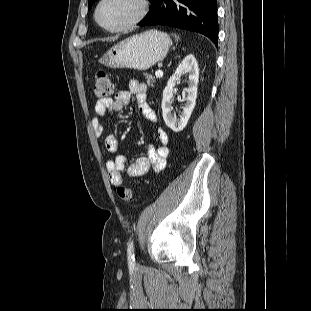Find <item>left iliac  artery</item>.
Instances as JSON below:
<instances>
[{
    "instance_id": "left-iliac-artery-1",
    "label": "left iliac artery",
    "mask_w": 311,
    "mask_h": 311,
    "mask_svg": "<svg viewBox=\"0 0 311 311\" xmlns=\"http://www.w3.org/2000/svg\"><path fill=\"white\" fill-rule=\"evenodd\" d=\"M127 257H128L129 265H134L135 264V258H134V242L133 241H131L128 245Z\"/></svg>"
}]
</instances>
